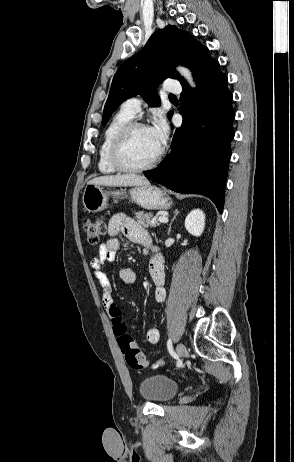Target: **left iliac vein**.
Masks as SVG:
<instances>
[{
    "label": "left iliac vein",
    "mask_w": 294,
    "mask_h": 462,
    "mask_svg": "<svg viewBox=\"0 0 294 462\" xmlns=\"http://www.w3.org/2000/svg\"><path fill=\"white\" fill-rule=\"evenodd\" d=\"M176 352L178 353L179 358H183V357H185V355L187 353V349H186V347H185V345L183 343H179L178 346H177Z\"/></svg>",
    "instance_id": "1"
}]
</instances>
